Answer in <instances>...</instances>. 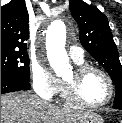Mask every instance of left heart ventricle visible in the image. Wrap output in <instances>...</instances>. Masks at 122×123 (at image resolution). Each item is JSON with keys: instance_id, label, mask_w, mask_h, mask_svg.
<instances>
[{"instance_id": "left-heart-ventricle-1", "label": "left heart ventricle", "mask_w": 122, "mask_h": 123, "mask_svg": "<svg viewBox=\"0 0 122 123\" xmlns=\"http://www.w3.org/2000/svg\"><path fill=\"white\" fill-rule=\"evenodd\" d=\"M72 78L73 72L69 73L64 80H71ZM79 94L87 102L100 103L108 97L109 85L101 74L91 71L81 81Z\"/></svg>"}]
</instances>
